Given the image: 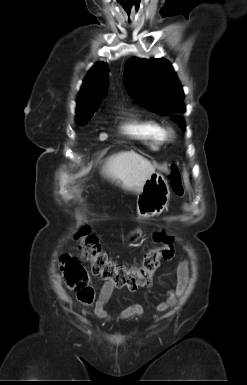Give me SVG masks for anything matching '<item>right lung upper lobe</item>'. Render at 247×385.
<instances>
[{
    "instance_id": "1",
    "label": "right lung upper lobe",
    "mask_w": 247,
    "mask_h": 385,
    "mask_svg": "<svg viewBox=\"0 0 247 385\" xmlns=\"http://www.w3.org/2000/svg\"><path fill=\"white\" fill-rule=\"evenodd\" d=\"M108 66L95 64L86 76L77 100V115L95 112L101 103L107 87Z\"/></svg>"
}]
</instances>
